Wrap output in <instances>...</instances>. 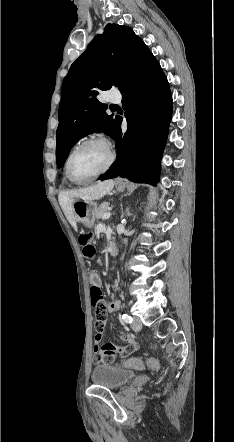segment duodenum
<instances>
[{"mask_svg": "<svg viewBox=\"0 0 234 442\" xmlns=\"http://www.w3.org/2000/svg\"><path fill=\"white\" fill-rule=\"evenodd\" d=\"M118 253V246L116 243L112 242L107 246L106 254L107 255H115Z\"/></svg>", "mask_w": 234, "mask_h": 442, "instance_id": "410a0bca", "label": "duodenum"}]
</instances>
